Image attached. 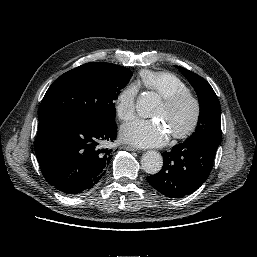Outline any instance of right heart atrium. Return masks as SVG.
Masks as SVG:
<instances>
[{"mask_svg": "<svg viewBox=\"0 0 257 257\" xmlns=\"http://www.w3.org/2000/svg\"><path fill=\"white\" fill-rule=\"evenodd\" d=\"M137 94V85L129 83L117 95L116 114L122 121H128L134 117Z\"/></svg>", "mask_w": 257, "mask_h": 257, "instance_id": "1", "label": "right heart atrium"}]
</instances>
